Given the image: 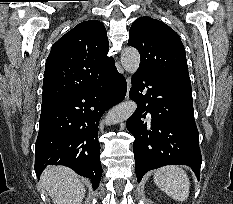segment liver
<instances>
[{
  "label": "liver",
  "instance_id": "obj_1",
  "mask_svg": "<svg viewBox=\"0 0 233 204\" xmlns=\"http://www.w3.org/2000/svg\"><path fill=\"white\" fill-rule=\"evenodd\" d=\"M40 181L54 204H81L85 188L80 176L65 166H48Z\"/></svg>",
  "mask_w": 233,
  "mask_h": 204
}]
</instances>
